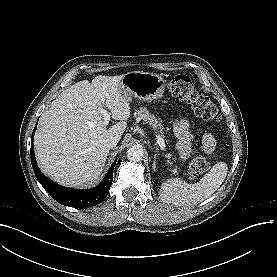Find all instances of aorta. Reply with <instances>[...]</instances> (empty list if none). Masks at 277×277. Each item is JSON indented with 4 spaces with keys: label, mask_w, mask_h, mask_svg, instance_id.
<instances>
[{
    "label": "aorta",
    "mask_w": 277,
    "mask_h": 277,
    "mask_svg": "<svg viewBox=\"0 0 277 277\" xmlns=\"http://www.w3.org/2000/svg\"><path fill=\"white\" fill-rule=\"evenodd\" d=\"M126 154L128 160L132 162H139L143 159L144 150L139 145H133L127 150Z\"/></svg>",
    "instance_id": "1"
}]
</instances>
